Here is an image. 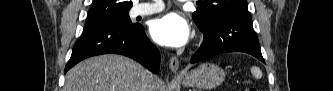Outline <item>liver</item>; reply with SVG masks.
I'll return each instance as SVG.
<instances>
[{
  "label": "liver",
  "mask_w": 333,
  "mask_h": 91,
  "mask_svg": "<svg viewBox=\"0 0 333 91\" xmlns=\"http://www.w3.org/2000/svg\"><path fill=\"white\" fill-rule=\"evenodd\" d=\"M148 78L153 91L158 83L142 65L119 55H102L84 60L66 75L64 91H142Z\"/></svg>",
  "instance_id": "liver-1"
}]
</instances>
